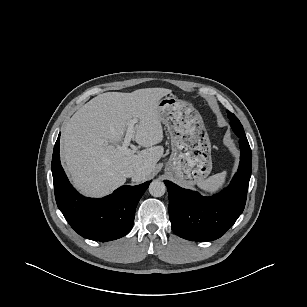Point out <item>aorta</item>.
I'll use <instances>...</instances> for the list:
<instances>
[{
  "label": "aorta",
  "instance_id": "obj_1",
  "mask_svg": "<svg viewBox=\"0 0 307 307\" xmlns=\"http://www.w3.org/2000/svg\"><path fill=\"white\" fill-rule=\"evenodd\" d=\"M149 193L153 197H161L165 194L166 186L163 182L159 180H154L149 185Z\"/></svg>",
  "mask_w": 307,
  "mask_h": 307
}]
</instances>
